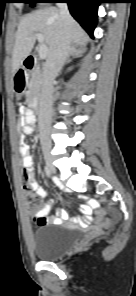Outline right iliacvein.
I'll list each match as a JSON object with an SVG mask.
<instances>
[{"label": "right iliac vein", "instance_id": "right-iliac-vein-1", "mask_svg": "<svg viewBox=\"0 0 136 296\" xmlns=\"http://www.w3.org/2000/svg\"><path fill=\"white\" fill-rule=\"evenodd\" d=\"M45 162L49 168V170L51 171V173H55L56 169L52 164V159H51V155L49 153L45 154Z\"/></svg>", "mask_w": 136, "mask_h": 296}]
</instances>
